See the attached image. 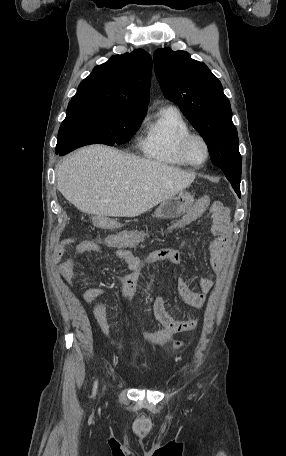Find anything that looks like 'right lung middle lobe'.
Listing matches in <instances>:
<instances>
[{
  "instance_id": "dd1d6c3e",
  "label": "right lung middle lobe",
  "mask_w": 286,
  "mask_h": 456,
  "mask_svg": "<svg viewBox=\"0 0 286 456\" xmlns=\"http://www.w3.org/2000/svg\"><path fill=\"white\" fill-rule=\"evenodd\" d=\"M146 111L91 102H69L58 132L56 151L65 155L89 144L113 146L128 142L139 129Z\"/></svg>"
}]
</instances>
